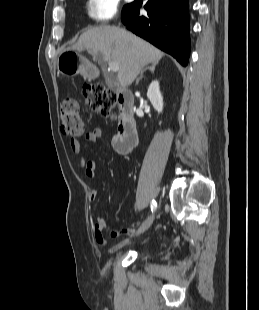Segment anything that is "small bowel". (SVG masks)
I'll list each match as a JSON object with an SVG mask.
<instances>
[{
	"instance_id": "obj_1",
	"label": "small bowel",
	"mask_w": 259,
	"mask_h": 310,
	"mask_svg": "<svg viewBox=\"0 0 259 310\" xmlns=\"http://www.w3.org/2000/svg\"><path fill=\"white\" fill-rule=\"evenodd\" d=\"M102 135H103L102 129L97 127L85 135V140L90 143H95L102 137ZM70 147L73 153L75 154H80L82 151V144L78 140H71ZM79 163L80 166L84 169L85 175L88 178H94L96 176V165L94 160L87 159L86 157L81 156L79 158ZM97 197H98L97 190H92L90 193V200L95 201ZM106 227H107V221L104 218H98L93 224V234L97 244L103 248H107L109 252H115L131 244L134 239V235L137 234L138 231V230L134 231L131 228L123 229L120 232L112 231L111 236L113 238H117L121 235H128V237L117 243L115 246L108 247L107 241L103 234V231Z\"/></svg>"
}]
</instances>
